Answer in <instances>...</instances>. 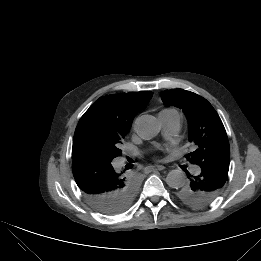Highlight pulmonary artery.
Masks as SVG:
<instances>
[{
  "mask_svg": "<svg viewBox=\"0 0 261 261\" xmlns=\"http://www.w3.org/2000/svg\"><path fill=\"white\" fill-rule=\"evenodd\" d=\"M158 118L166 136L174 135L180 129L181 115L177 110L164 109L159 113ZM191 170L195 173L200 171L197 166H193Z\"/></svg>",
  "mask_w": 261,
  "mask_h": 261,
  "instance_id": "e3ab8cb5",
  "label": "pulmonary artery"
}]
</instances>
